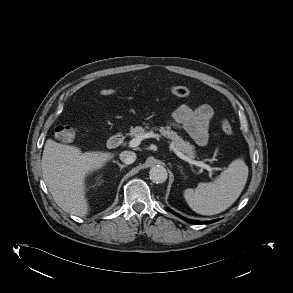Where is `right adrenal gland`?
Instances as JSON below:
<instances>
[{
    "instance_id": "2a0ac1e0",
    "label": "right adrenal gland",
    "mask_w": 293,
    "mask_h": 293,
    "mask_svg": "<svg viewBox=\"0 0 293 293\" xmlns=\"http://www.w3.org/2000/svg\"><path fill=\"white\" fill-rule=\"evenodd\" d=\"M113 162L116 163V164L120 167V170H122L123 168L127 167V165L120 164V163L117 162V161H113Z\"/></svg>"
}]
</instances>
